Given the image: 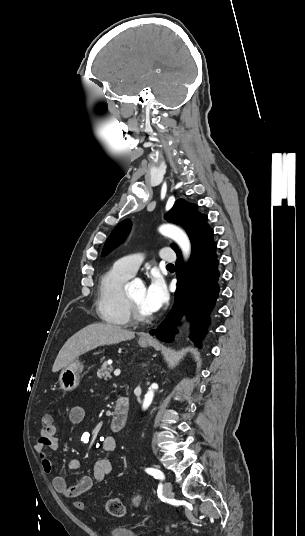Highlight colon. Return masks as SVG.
Instances as JSON below:
<instances>
[{"mask_svg": "<svg viewBox=\"0 0 305 536\" xmlns=\"http://www.w3.org/2000/svg\"><path fill=\"white\" fill-rule=\"evenodd\" d=\"M52 422H53V419L50 414H45L43 416L42 423L44 426L50 427L52 425ZM143 502H144V499L141 494L134 495L132 499V505L134 507H139L140 505L143 504ZM71 503L72 505L77 507L79 512L84 513L87 511V504L84 502H80L79 498L77 497L72 498ZM105 509L110 515L114 517H122L123 515H125V512H126L124 504L117 497L110 498L105 504Z\"/></svg>", "mask_w": 305, "mask_h": 536, "instance_id": "obj_1", "label": "colon"}]
</instances>
